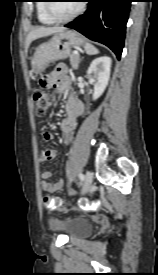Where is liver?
<instances>
[{
	"mask_svg": "<svg viewBox=\"0 0 158 275\" xmlns=\"http://www.w3.org/2000/svg\"><path fill=\"white\" fill-rule=\"evenodd\" d=\"M63 31H65L64 27H36L27 36L26 48L29 47L32 41L38 38L46 37Z\"/></svg>",
	"mask_w": 158,
	"mask_h": 275,
	"instance_id": "1",
	"label": "liver"
}]
</instances>
